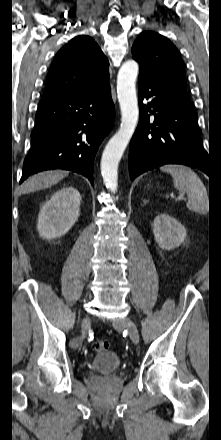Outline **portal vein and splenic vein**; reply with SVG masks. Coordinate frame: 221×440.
Segmentation results:
<instances>
[{"label": "portal vein and splenic vein", "mask_w": 221, "mask_h": 440, "mask_svg": "<svg viewBox=\"0 0 221 440\" xmlns=\"http://www.w3.org/2000/svg\"><path fill=\"white\" fill-rule=\"evenodd\" d=\"M169 196H170L171 198H173V199L175 198V196H174L173 193H171ZM180 199H181L180 197L175 198L176 201H178V200H180Z\"/></svg>", "instance_id": "1"}]
</instances>
